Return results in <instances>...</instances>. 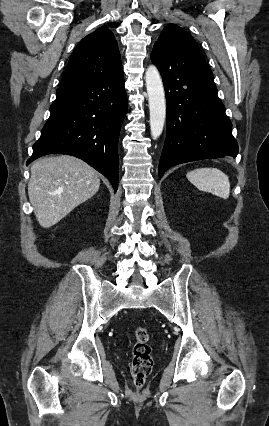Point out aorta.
<instances>
[{"instance_id": "obj_1", "label": "aorta", "mask_w": 269, "mask_h": 426, "mask_svg": "<svg viewBox=\"0 0 269 426\" xmlns=\"http://www.w3.org/2000/svg\"><path fill=\"white\" fill-rule=\"evenodd\" d=\"M150 111V130L153 139H157L163 131L166 117L165 92L161 76L154 65H150L145 73Z\"/></svg>"}]
</instances>
